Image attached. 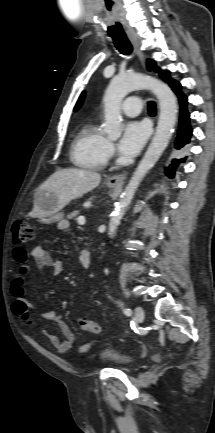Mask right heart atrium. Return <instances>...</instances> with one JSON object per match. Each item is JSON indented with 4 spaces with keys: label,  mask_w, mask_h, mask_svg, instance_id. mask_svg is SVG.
I'll list each match as a JSON object with an SVG mask.
<instances>
[{
    "label": "right heart atrium",
    "mask_w": 215,
    "mask_h": 433,
    "mask_svg": "<svg viewBox=\"0 0 215 433\" xmlns=\"http://www.w3.org/2000/svg\"><path fill=\"white\" fill-rule=\"evenodd\" d=\"M106 152L108 157H111L114 154V146L112 143L110 142L107 143Z\"/></svg>",
    "instance_id": "obj_1"
}]
</instances>
